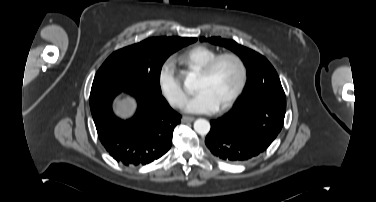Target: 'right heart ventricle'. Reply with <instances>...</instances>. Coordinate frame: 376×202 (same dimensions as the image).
<instances>
[{
  "instance_id": "obj_1",
  "label": "right heart ventricle",
  "mask_w": 376,
  "mask_h": 202,
  "mask_svg": "<svg viewBox=\"0 0 376 202\" xmlns=\"http://www.w3.org/2000/svg\"><path fill=\"white\" fill-rule=\"evenodd\" d=\"M216 55H218V51L214 48L205 45H198L178 53L173 57V61L181 66L186 72H198Z\"/></svg>"
}]
</instances>
